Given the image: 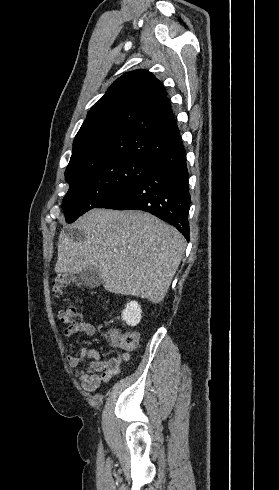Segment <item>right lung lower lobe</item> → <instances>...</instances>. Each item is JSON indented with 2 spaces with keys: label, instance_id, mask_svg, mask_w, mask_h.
Masks as SVG:
<instances>
[{
  "label": "right lung lower lobe",
  "instance_id": "obj_1",
  "mask_svg": "<svg viewBox=\"0 0 279 490\" xmlns=\"http://www.w3.org/2000/svg\"><path fill=\"white\" fill-rule=\"evenodd\" d=\"M186 152L183 144L157 158L147 173L105 197L95 208L149 212L176 227L189 241Z\"/></svg>",
  "mask_w": 279,
  "mask_h": 490
}]
</instances>
